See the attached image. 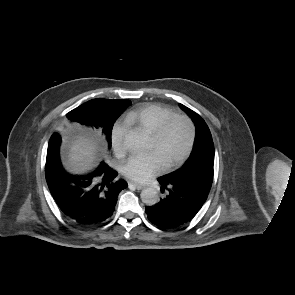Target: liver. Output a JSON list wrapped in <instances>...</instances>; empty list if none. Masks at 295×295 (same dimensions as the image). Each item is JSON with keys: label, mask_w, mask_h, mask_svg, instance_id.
<instances>
[{"label": "liver", "mask_w": 295, "mask_h": 295, "mask_svg": "<svg viewBox=\"0 0 295 295\" xmlns=\"http://www.w3.org/2000/svg\"><path fill=\"white\" fill-rule=\"evenodd\" d=\"M96 145L92 140L80 138L70 148L66 165L76 173L86 172L92 169L96 163Z\"/></svg>", "instance_id": "6515ba94"}]
</instances>
